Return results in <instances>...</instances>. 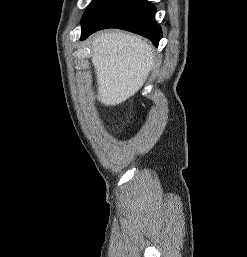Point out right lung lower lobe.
<instances>
[{
  "label": "right lung lower lobe",
  "mask_w": 247,
  "mask_h": 257,
  "mask_svg": "<svg viewBox=\"0 0 247 257\" xmlns=\"http://www.w3.org/2000/svg\"><path fill=\"white\" fill-rule=\"evenodd\" d=\"M156 8L147 0H96L82 20L81 40L97 30L120 28L150 39L158 46L161 27L154 19Z\"/></svg>",
  "instance_id": "right-lung-lower-lobe-1"
}]
</instances>
